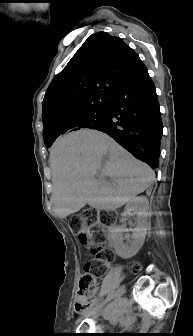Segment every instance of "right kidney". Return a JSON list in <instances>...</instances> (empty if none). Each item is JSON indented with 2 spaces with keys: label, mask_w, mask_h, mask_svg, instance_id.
Returning a JSON list of instances; mask_svg holds the SVG:
<instances>
[{
  "label": "right kidney",
  "mask_w": 193,
  "mask_h": 336,
  "mask_svg": "<svg viewBox=\"0 0 193 336\" xmlns=\"http://www.w3.org/2000/svg\"><path fill=\"white\" fill-rule=\"evenodd\" d=\"M149 202L145 196H138L129 200L125 206L122 216H127L134 211L136 215V227L133 230L132 242L128 244L123 243L122 233L125 231V224L117 228V232L120 238V247L124 250V256L131 257L137 254L140 248L143 246L147 231V219H148V206ZM124 222V219H122Z\"/></svg>",
  "instance_id": "ca27d5eb"
}]
</instances>
